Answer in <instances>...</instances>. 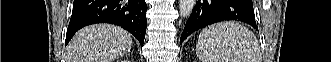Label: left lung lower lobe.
<instances>
[{
	"instance_id": "left-lung-lower-lobe-1",
	"label": "left lung lower lobe",
	"mask_w": 331,
	"mask_h": 62,
	"mask_svg": "<svg viewBox=\"0 0 331 62\" xmlns=\"http://www.w3.org/2000/svg\"><path fill=\"white\" fill-rule=\"evenodd\" d=\"M237 20L257 28L252 0H198L180 38V44L193 32L210 24Z\"/></svg>"
}]
</instances>
